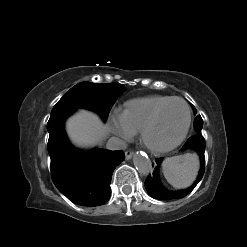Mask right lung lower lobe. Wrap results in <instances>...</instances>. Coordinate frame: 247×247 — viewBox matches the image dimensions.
Segmentation results:
<instances>
[{"label":"right lung lower lobe","mask_w":247,"mask_h":247,"mask_svg":"<svg viewBox=\"0 0 247 247\" xmlns=\"http://www.w3.org/2000/svg\"><path fill=\"white\" fill-rule=\"evenodd\" d=\"M72 112L52 114L47 123L51 177L71 202L86 207L103 205L110 198L112 173L125 155L122 151L95 149L84 153L75 149L64 131V121Z\"/></svg>","instance_id":"right-lung-lower-lobe-1"}]
</instances>
